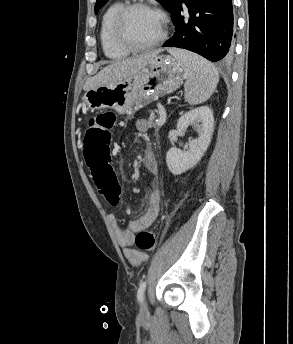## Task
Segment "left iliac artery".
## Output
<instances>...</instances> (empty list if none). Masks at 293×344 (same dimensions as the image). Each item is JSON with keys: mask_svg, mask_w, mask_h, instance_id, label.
<instances>
[{"mask_svg": "<svg viewBox=\"0 0 293 344\" xmlns=\"http://www.w3.org/2000/svg\"><path fill=\"white\" fill-rule=\"evenodd\" d=\"M145 289H146V281H143L137 291V298L139 302L143 301L144 298V293H145Z\"/></svg>", "mask_w": 293, "mask_h": 344, "instance_id": "1", "label": "left iliac artery"}]
</instances>
